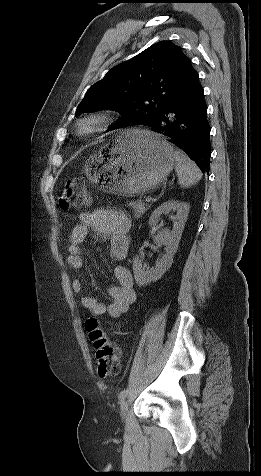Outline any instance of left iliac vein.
Returning a JSON list of instances; mask_svg holds the SVG:
<instances>
[{"label":"left iliac vein","mask_w":261,"mask_h":476,"mask_svg":"<svg viewBox=\"0 0 261 476\" xmlns=\"http://www.w3.org/2000/svg\"><path fill=\"white\" fill-rule=\"evenodd\" d=\"M127 413H128V401L124 398V399H122L121 404H120L121 417L123 419H125L127 417Z\"/></svg>","instance_id":"4c4485c4"}]
</instances>
